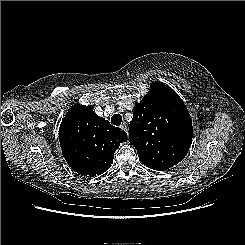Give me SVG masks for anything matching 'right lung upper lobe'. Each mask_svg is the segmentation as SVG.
Wrapping results in <instances>:
<instances>
[{
  "label": "right lung upper lobe",
  "instance_id": "cb5924a9",
  "mask_svg": "<svg viewBox=\"0 0 245 245\" xmlns=\"http://www.w3.org/2000/svg\"><path fill=\"white\" fill-rule=\"evenodd\" d=\"M60 145L68 165L81 175H101L127 134L100 118L91 105H73L59 128Z\"/></svg>",
  "mask_w": 245,
  "mask_h": 245
}]
</instances>
